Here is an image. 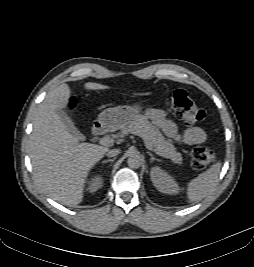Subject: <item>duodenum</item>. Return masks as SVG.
Returning a JSON list of instances; mask_svg holds the SVG:
<instances>
[{"instance_id":"duodenum-1","label":"duodenum","mask_w":254,"mask_h":267,"mask_svg":"<svg viewBox=\"0 0 254 267\" xmlns=\"http://www.w3.org/2000/svg\"><path fill=\"white\" fill-rule=\"evenodd\" d=\"M105 131H106V127L100 122L96 123L92 129L93 135H96V136L104 134Z\"/></svg>"}]
</instances>
